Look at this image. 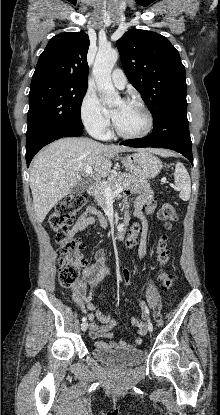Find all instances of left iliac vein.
<instances>
[{
	"label": "left iliac vein",
	"instance_id": "obj_1",
	"mask_svg": "<svg viewBox=\"0 0 220 415\" xmlns=\"http://www.w3.org/2000/svg\"><path fill=\"white\" fill-rule=\"evenodd\" d=\"M147 327H148L149 332H152V331H153V324H152V322H151V321H149V320H148Z\"/></svg>",
	"mask_w": 220,
	"mask_h": 415
}]
</instances>
